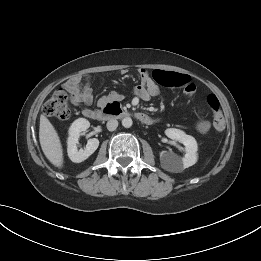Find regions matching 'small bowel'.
<instances>
[{
    "label": "small bowel",
    "instance_id": "obj_1",
    "mask_svg": "<svg viewBox=\"0 0 261 261\" xmlns=\"http://www.w3.org/2000/svg\"><path fill=\"white\" fill-rule=\"evenodd\" d=\"M141 83L135 87V95L142 100H149L160 92L159 85L166 87L182 88L185 95L190 96L196 90V85L191 81L190 77L185 74L156 70L152 76L147 70H140ZM90 75L76 76L69 79L65 84V89L70 93L71 100L76 105H90L93 102V91L90 83ZM109 98H118L117 95L104 97L101 102L107 101ZM91 111L85 107L83 114ZM199 133H205L209 129L207 121H200L196 124Z\"/></svg>",
    "mask_w": 261,
    "mask_h": 261
}]
</instances>
